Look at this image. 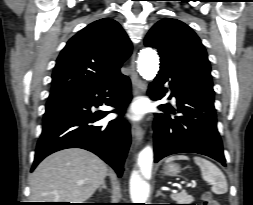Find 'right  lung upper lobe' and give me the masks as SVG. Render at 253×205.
Returning a JSON list of instances; mask_svg holds the SVG:
<instances>
[{
    "instance_id": "cb5924a9",
    "label": "right lung upper lobe",
    "mask_w": 253,
    "mask_h": 205,
    "mask_svg": "<svg viewBox=\"0 0 253 205\" xmlns=\"http://www.w3.org/2000/svg\"><path fill=\"white\" fill-rule=\"evenodd\" d=\"M132 44L112 19L97 20L75 36L61 51L52 74L49 99L100 87L122 75L120 67Z\"/></svg>"
}]
</instances>
